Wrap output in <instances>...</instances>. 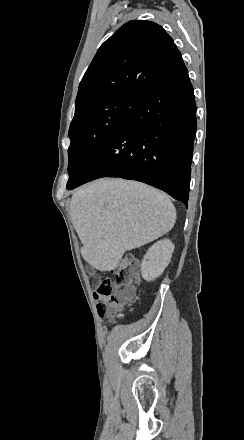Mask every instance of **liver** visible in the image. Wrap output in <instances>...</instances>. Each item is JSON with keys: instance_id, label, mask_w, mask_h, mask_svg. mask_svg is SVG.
I'll return each mask as SVG.
<instances>
[{"instance_id": "6515ba94", "label": "liver", "mask_w": 244, "mask_h": 440, "mask_svg": "<svg viewBox=\"0 0 244 440\" xmlns=\"http://www.w3.org/2000/svg\"><path fill=\"white\" fill-rule=\"evenodd\" d=\"M70 216L85 262L100 272L115 270L126 250L161 238L176 222L167 194L121 178H101L78 188Z\"/></svg>"}]
</instances>
